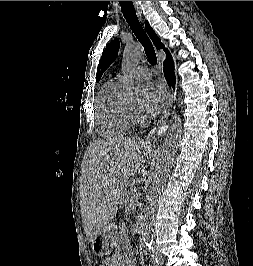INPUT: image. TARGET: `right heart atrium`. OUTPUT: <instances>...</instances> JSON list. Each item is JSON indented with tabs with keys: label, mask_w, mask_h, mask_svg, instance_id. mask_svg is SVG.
Instances as JSON below:
<instances>
[{
	"label": "right heart atrium",
	"mask_w": 253,
	"mask_h": 266,
	"mask_svg": "<svg viewBox=\"0 0 253 266\" xmlns=\"http://www.w3.org/2000/svg\"><path fill=\"white\" fill-rule=\"evenodd\" d=\"M134 118L136 122H141L143 121V116L139 112L134 113Z\"/></svg>",
	"instance_id": "1"
}]
</instances>
